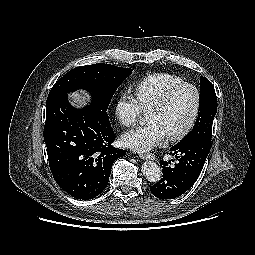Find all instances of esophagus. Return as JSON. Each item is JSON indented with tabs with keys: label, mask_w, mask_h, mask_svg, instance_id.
I'll return each mask as SVG.
<instances>
[{
	"label": "esophagus",
	"mask_w": 255,
	"mask_h": 255,
	"mask_svg": "<svg viewBox=\"0 0 255 255\" xmlns=\"http://www.w3.org/2000/svg\"><path fill=\"white\" fill-rule=\"evenodd\" d=\"M139 157L143 160H154L155 159L154 154H140Z\"/></svg>",
	"instance_id": "esophagus-1"
}]
</instances>
